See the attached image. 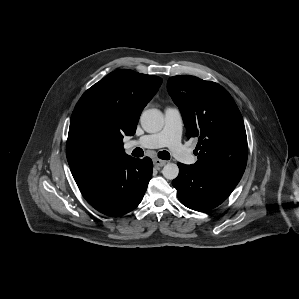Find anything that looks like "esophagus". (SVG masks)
Here are the masks:
<instances>
[{"mask_svg":"<svg viewBox=\"0 0 299 299\" xmlns=\"http://www.w3.org/2000/svg\"><path fill=\"white\" fill-rule=\"evenodd\" d=\"M153 164L157 167H162L166 164V161L165 160H161V159H158V158H154L153 159Z\"/></svg>","mask_w":299,"mask_h":299,"instance_id":"esophagus-1","label":"esophagus"}]
</instances>
